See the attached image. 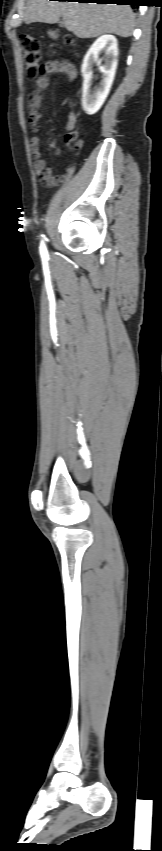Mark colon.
I'll use <instances>...</instances> for the list:
<instances>
[{"label": "colon", "mask_w": 162, "mask_h": 851, "mask_svg": "<svg viewBox=\"0 0 162 851\" xmlns=\"http://www.w3.org/2000/svg\"><path fill=\"white\" fill-rule=\"evenodd\" d=\"M66 42L71 43V38L67 37ZM20 46L25 65L26 77L29 80L34 81L43 72V65L40 63L41 55L39 42L33 35L25 33L20 36ZM71 137H75V133H71ZM60 180V177H54L55 183H58Z\"/></svg>", "instance_id": "obj_1"}]
</instances>
